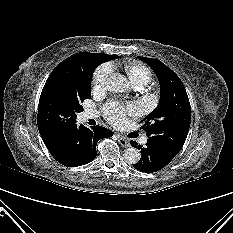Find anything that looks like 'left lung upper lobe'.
Here are the masks:
<instances>
[{"instance_id": "1", "label": "left lung upper lobe", "mask_w": 233, "mask_h": 233, "mask_svg": "<svg viewBox=\"0 0 233 233\" xmlns=\"http://www.w3.org/2000/svg\"><path fill=\"white\" fill-rule=\"evenodd\" d=\"M147 63L158 77L161 89L160 102L143 121L141 127L148 140L174 155L183 147L191 119L190 102L180 78L160 60L138 57Z\"/></svg>"}]
</instances>
